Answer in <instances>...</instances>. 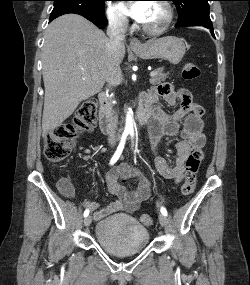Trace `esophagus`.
<instances>
[{
  "mask_svg": "<svg viewBox=\"0 0 250 285\" xmlns=\"http://www.w3.org/2000/svg\"><path fill=\"white\" fill-rule=\"evenodd\" d=\"M130 47H131V49H133V50H139V49H142V48H143V45H142V43L140 42L139 39H137V38H132V39L130 40Z\"/></svg>",
  "mask_w": 250,
  "mask_h": 285,
  "instance_id": "1",
  "label": "esophagus"
}]
</instances>
